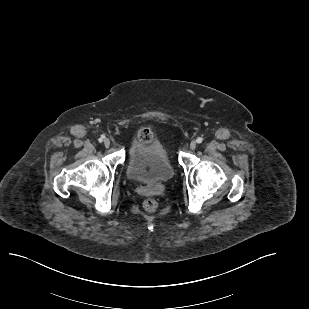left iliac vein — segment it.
<instances>
[{
	"label": "left iliac vein",
	"mask_w": 309,
	"mask_h": 309,
	"mask_svg": "<svg viewBox=\"0 0 309 309\" xmlns=\"http://www.w3.org/2000/svg\"><path fill=\"white\" fill-rule=\"evenodd\" d=\"M196 146H197V143H196V141H191V143H190V148L192 149V150H194L195 148H196Z\"/></svg>",
	"instance_id": "obj_1"
}]
</instances>
